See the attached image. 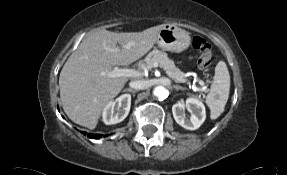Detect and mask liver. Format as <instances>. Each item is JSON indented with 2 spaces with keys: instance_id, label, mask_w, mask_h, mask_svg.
I'll list each match as a JSON object with an SVG mask.
<instances>
[{
  "instance_id": "liver-1",
  "label": "liver",
  "mask_w": 287,
  "mask_h": 175,
  "mask_svg": "<svg viewBox=\"0 0 287 175\" xmlns=\"http://www.w3.org/2000/svg\"><path fill=\"white\" fill-rule=\"evenodd\" d=\"M165 24L142 32H91L70 55L60 77V98L66 115L76 124L94 129L105 106L128 81L109 77L113 66L129 65L143 57L156 43ZM117 44L120 47H117Z\"/></svg>"
}]
</instances>
